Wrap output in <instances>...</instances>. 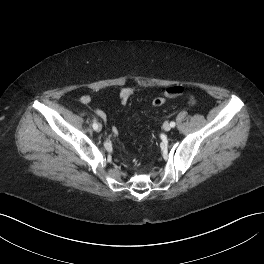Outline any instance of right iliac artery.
Segmentation results:
<instances>
[{"label": "right iliac artery", "mask_w": 264, "mask_h": 264, "mask_svg": "<svg viewBox=\"0 0 264 264\" xmlns=\"http://www.w3.org/2000/svg\"><path fill=\"white\" fill-rule=\"evenodd\" d=\"M92 126H93V129L94 130H97L98 129V124L97 123L94 122Z\"/></svg>", "instance_id": "right-iliac-artery-1"}]
</instances>
